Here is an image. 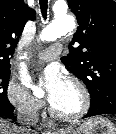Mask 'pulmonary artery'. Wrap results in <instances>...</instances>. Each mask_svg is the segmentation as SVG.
Segmentation results:
<instances>
[{
  "label": "pulmonary artery",
  "instance_id": "obj_1",
  "mask_svg": "<svg viewBox=\"0 0 116 134\" xmlns=\"http://www.w3.org/2000/svg\"><path fill=\"white\" fill-rule=\"evenodd\" d=\"M63 47L60 44H54L47 49L40 51L37 55L41 61H51L55 59L62 51Z\"/></svg>",
  "mask_w": 116,
  "mask_h": 134
}]
</instances>
